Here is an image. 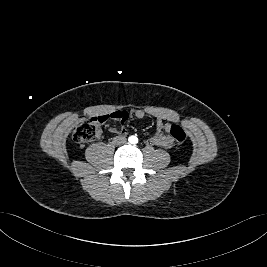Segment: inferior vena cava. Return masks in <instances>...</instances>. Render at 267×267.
Wrapping results in <instances>:
<instances>
[{"label": "inferior vena cava", "instance_id": "obj_1", "mask_svg": "<svg viewBox=\"0 0 267 267\" xmlns=\"http://www.w3.org/2000/svg\"><path fill=\"white\" fill-rule=\"evenodd\" d=\"M115 141L117 144H124L126 143V138L124 136L115 137Z\"/></svg>", "mask_w": 267, "mask_h": 267}]
</instances>
